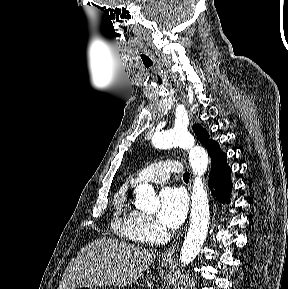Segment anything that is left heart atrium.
Returning a JSON list of instances; mask_svg holds the SVG:
<instances>
[{"mask_svg":"<svg viewBox=\"0 0 288 289\" xmlns=\"http://www.w3.org/2000/svg\"><path fill=\"white\" fill-rule=\"evenodd\" d=\"M158 219L162 225L177 228L187 213V197L183 190L166 187L159 193Z\"/></svg>","mask_w":288,"mask_h":289,"instance_id":"1","label":"left heart atrium"}]
</instances>
